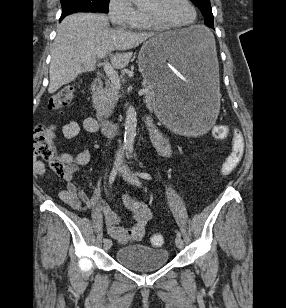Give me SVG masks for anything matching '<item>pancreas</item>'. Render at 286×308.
Returning <instances> with one entry per match:
<instances>
[{
    "label": "pancreas",
    "mask_w": 286,
    "mask_h": 308,
    "mask_svg": "<svg viewBox=\"0 0 286 308\" xmlns=\"http://www.w3.org/2000/svg\"><path fill=\"white\" fill-rule=\"evenodd\" d=\"M143 86V90H145V101L148 106H152V100L154 98L153 89L146 81H144ZM119 90V87L111 83L107 84L104 89L93 95V107L96 109L97 117L110 116L120 98Z\"/></svg>",
    "instance_id": "cf45deb5"
}]
</instances>
